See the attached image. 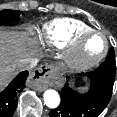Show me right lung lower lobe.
I'll use <instances>...</instances> for the list:
<instances>
[{
	"label": "right lung lower lobe",
	"mask_w": 117,
	"mask_h": 117,
	"mask_svg": "<svg viewBox=\"0 0 117 117\" xmlns=\"http://www.w3.org/2000/svg\"><path fill=\"white\" fill-rule=\"evenodd\" d=\"M27 76V71L21 72L0 93V117H12L17 105V94L26 87Z\"/></svg>",
	"instance_id": "right-lung-lower-lobe-1"
}]
</instances>
